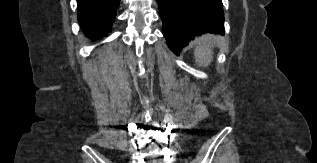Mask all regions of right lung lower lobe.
<instances>
[{"mask_svg": "<svg viewBox=\"0 0 317 163\" xmlns=\"http://www.w3.org/2000/svg\"><path fill=\"white\" fill-rule=\"evenodd\" d=\"M120 0H77L78 20L85 34L106 37L115 19Z\"/></svg>", "mask_w": 317, "mask_h": 163, "instance_id": "1", "label": "right lung lower lobe"}]
</instances>
